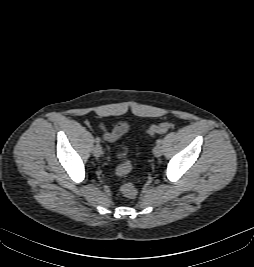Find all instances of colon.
<instances>
[{"label": "colon", "mask_w": 254, "mask_h": 267, "mask_svg": "<svg viewBox=\"0 0 254 267\" xmlns=\"http://www.w3.org/2000/svg\"><path fill=\"white\" fill-rule=\"evenodd\" d=\"M170 127V124L168 122H163L157 125H152L147 129V134L151 136L159 135L165 133ZM120 157L122 159L121 163L118 165L116 169V173L118 176H126L131 171V163L126 158V150L123 149L120 153ZM121 193L127 197V198H135L137 195V189L132 183H124L122 184Z\"/></svg>", "instance_id": "colon-1"}]
</instances>
